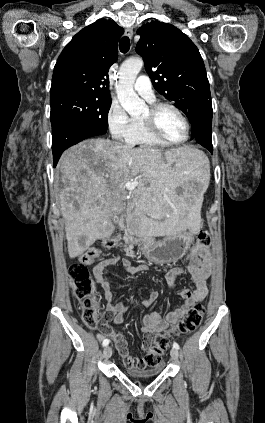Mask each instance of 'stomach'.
<instances>
[{
  "label": "stomach",
  "mask_w": 265,
  "mask_h": 423,
  "mask_svg": "<svg viewBox=\"0 0 265 423\" xmlns=\"http://www.w3.org/2000/svg\"><path fill=\"white\" fill-rule=\"evenodd\" d=\"M194 240L190 229L175 235H167L160 241L152 239L144 242V255L150 261L168 263L182 258Z\"/></svg>",
  "instance_id": "1"
}]
</instances>
